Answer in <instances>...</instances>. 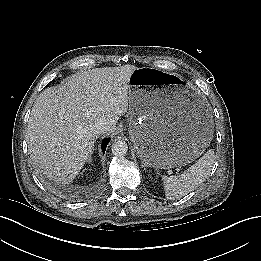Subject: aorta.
Segmentation results:
<instances>
[{
    "label": "aorta",
    "mask_w": 261,
    "mask_h": 261,
    "mask_svg": "<svg viewBox=\"0 0 261 261\" xmlns=\"http://www.w3.org/2000/svg\"><path fill=\"white\" fill-rule=\"evenodd\" d=\"M112 153L117 156L121 157L124 156L128 151V145L123 140H116L111 146Z\"/></svg>",
    "instance_id": "obj_1"
}]
</instances>
